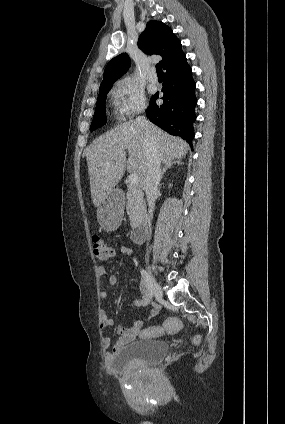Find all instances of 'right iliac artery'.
<instances>
[{
  "instance_id": "1",
  "label": "right iliac artery",
  "mask_w": 285,
  "mask_h": 424,
  "mask_svg": "<svg viewBox=\"0 0 285 424\" xmlns=\"http://www.w3.org/2000/svg\"><path fill=\"white\" fill-rule=\"evenodd\" d=\"M141 276H142V281L146 284L148 292H149V297L152 298L153 297V290H152V286L150 283V277L149 274L146 272V270L141 269Z\"/></svg>"
}]
</instances>
